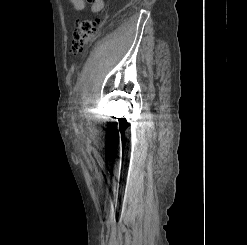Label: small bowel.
<instances>
[{"label": "small bowel", "instance_id": "obj_1", "mask_svg": "<svg viewBox=\"0 0 247 245\" xmlns=\"http://www.w3.org/2000/svg\"><path fill=\"white\" fill-rule=\"evenodd\" d=\"M72 10L75 14H80L84 11L86 1L90 4L92 13H99L104 8V0H69Z\"/></svg>", "mask_w": 247, "mask_h": 245}]
</instances>
